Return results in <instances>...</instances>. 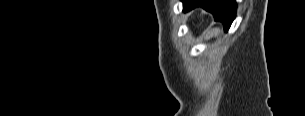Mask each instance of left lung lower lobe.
Instances as JSON below:
<instances>
[{
    "label": "left lung lower lobe",
    "instance_id": "left-lung-lower-lobe-1",
    "mask_svg": "<svg viewBox=\"0 0 305 116\" xmlns=\"http://www.w3.org/2000/svg\"><path fill=\"white\" fill-rule=\"evenodd\" d=\"M186 10L201 6L214 15L215 20L221 21L226 30L229 29L236 15L235 0H182Z\"/></svg>",
    "mask_w": 305,
    "mask_h": 116
}]
</instances>
